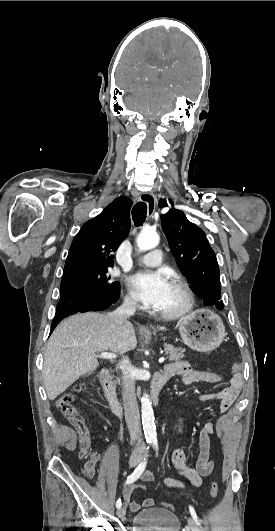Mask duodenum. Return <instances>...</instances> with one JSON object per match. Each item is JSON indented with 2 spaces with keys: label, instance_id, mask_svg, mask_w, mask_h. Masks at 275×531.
<instances>
[{
  "label": "duodenum",
  "instance_id": "obj_1",
  "mask_svg": "<svg viewBox=\"0 0 275 531\" xmlns=\"http://www.w3.org/2000/svg\"><path fill=\"white\" fill-rule=\"evenodd\" d=\"M169 378L170 375L165 371L157 372L152 377L149 399L153 405L158 404L161 397L162 389ZM98 382L103 390V393L111 411L115 414H120L122 411V405L118 399L115 385L112 379V368L104 367L99 372Z\"/></svg>",
  "mask_w": 275,
  "mask_h": 531
}]
</instances>
